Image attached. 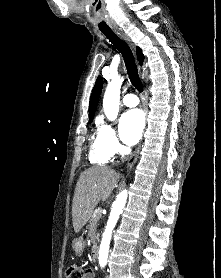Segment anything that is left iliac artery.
<instances>
[{
  "label": "left iliac artery",
  "instance_id": "44dca946",
  "mask_svg": "<svg viewBox=\"0 0 221 278\" xmlns=\"http://www.w3.org/2000/svg\"><path fill=\"white\" fill-rule=\"evenodd\" d=\"M104 265H105L104 263H101V266H102V267H104Z\"/></svg>",
  "mask_w": 221,
  "mask_h": 278
}]
</instances>
